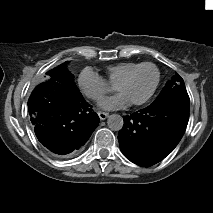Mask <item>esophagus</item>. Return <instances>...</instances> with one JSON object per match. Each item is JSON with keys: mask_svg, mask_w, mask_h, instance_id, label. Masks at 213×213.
<instances>
[{"mask_svg": "<svg viewBox=\"0 0 213 213\" xmlns=\"http://www.w3.org/2000/svg\"><path fill=\"white\" fill-rule=\"evenodd\" d=\"M98 115H99V117H100V119L101 120H105L107 117H108V113H106V112H98Z\"/></svg>", "mask_w": 213, "mask_h": 213, "instance_id": "1", "label": "esophagus"}]
</instances>
